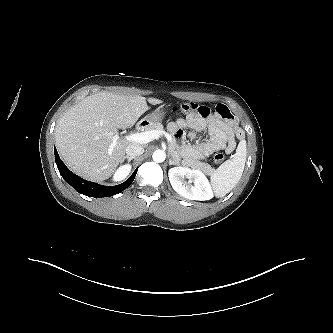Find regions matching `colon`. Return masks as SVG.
Listing matches in <instances>:
<instances>
[{"label": "colon", "mask_w": 333, "mask_h": 333, "mask_svg": "<svg viewBox=\"0 0 333 333\" xmlns=\"http://www.w3.org/2000/svg\"><path fill=\"white\" fill-rule=\"evenodd\" d=\"M202 106H199L198 104L194 102H183L178 106H174L173 110L174 111H181V112H196L201 109ZM224 154L223 153H216L213 157V160L216 164H221L224 161Z\"/></svg>", "instance_id": "colon-1"}]
</instances>
